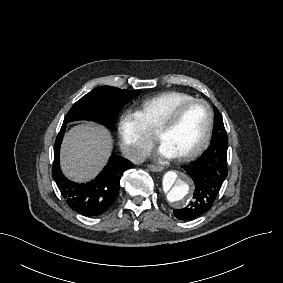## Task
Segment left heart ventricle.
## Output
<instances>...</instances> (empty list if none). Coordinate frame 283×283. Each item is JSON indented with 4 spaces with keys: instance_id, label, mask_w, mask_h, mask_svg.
Returning <instances> with one entry per match:
<instances>
[{
    "instance_id": "1",
    "label": "left heart ventricle",
    "mask_w": 283,
    "mask_h": 283,
    "mask_svg": "<svg viewBox=\"0 0 283 283\" xmlns=\"http://www.w3.org/2000/svg\"><path fill=\"white\" fill-rule=\"evenodd\" d=\"M208 121L206 107L194 103L187 107L175 125L161 136V145L176 157L194 149L201 141Z\"/></svg>"
}]
</instances>
